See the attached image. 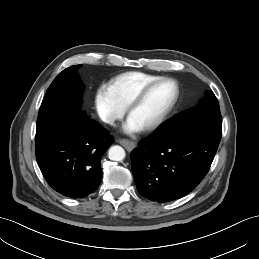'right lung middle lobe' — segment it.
Wrapping results in <instances>:
<instances>
[{
    "instance_id": "obj_1",
    "label": "right lung middle lobe",
    "mask_w": 259,
    "mask_h": 259,
    "mask_svg": "<svg viewBox=\"0 0 259 259\" xmlns=\"http://www.w3.org/2000/svg\"><path fill=\"white\" fill-rule=\"evenodd\" d=\"M80 67L81 65H74L66 68L49 86L39 110L36 135L57 120L78 123L88 119L81 108L80 93L83 85L77 73Z\"/></svg>"
}]
</instances>
